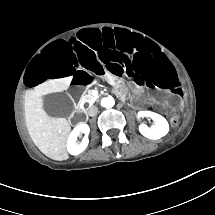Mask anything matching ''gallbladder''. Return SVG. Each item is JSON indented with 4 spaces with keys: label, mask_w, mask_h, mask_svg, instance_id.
I'll return each mask as SVG.
<instances>
[{
    "label": "gallbladder",
    "mask_w": 215,
    "mask_h": 215,
    "mask_svg": "<svg viewBox=\"0 0 215 215\" xmlns=\"http://www.w3.org/2000/svg\"><path fill=\"white\" fill-rule=\"evenodd\" d=\"M46 111L55 117H68L74 110L73 101H70L66 94L55 93L43 100Z\"/></svg>",
    "instance_id": "1"
}]
</instances>
